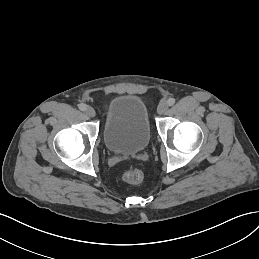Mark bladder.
Returning a JSON list of instances; mask_svg holds the SVG:
<instances>
[{
  "label": "bladder",
  "mask_w": 259,
  "mask_h": 259,
  "mask_svg": "<svg viewBox=\"0 0 259 259\" xmlns=\"http://www.w3.org/2000/svg\"><path fill=\"white\" fill-rule=\"evenodd\" d=\"M108 150L117 154H136L150 141L149 115L144 102L133 95L114 98L108 106L104 129Z\"/></svg>",
  "instance_id": "bladder-1"
}]
</instances>
